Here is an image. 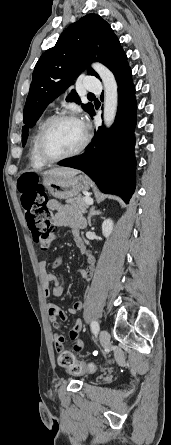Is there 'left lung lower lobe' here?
<instances>
[{
  "instance_id": "0a47b994",
  "label": "left lung lower lobe",
  "mask_w": 171,
  "mask_h": 445,
  "mask_svg": "<svg viewBox=\"0 0 171 445\" xmlns=\"http://www.w3.org/2000/svg\"><path fill=\"white\" fill-rule=\"evenodd\" d=\"M114 75L119 95L114 124L110 129L99 127L83 154L61 160L58 164L83 171L102 192L117 194L128 203L135 190L134 128L137 104L129 65H123ZM94 115L95 110L90 116Z\"/></svg>"
}]
</instances>
